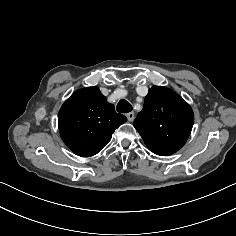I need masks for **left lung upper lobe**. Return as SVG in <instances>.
<instances>
[{
	"label": "left lung upper lobe",
	"instance_id": "obj_1",
	"mask_svg": "<svg viewBox=\"0 0 236 236\" xmlns=\"http://www.w3.org/2000/svg\"><path fill=\"white\" fill-rule=\"evenodd\" d=\"M193 122V111L180 95L167 87L153 86L134 127L152 152L165 156L183 147Z\"/></svg>",
	"mask_w": 236,
	"mask_h": 236
}]
</instances>
